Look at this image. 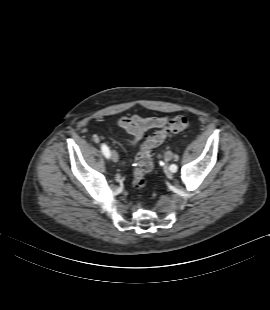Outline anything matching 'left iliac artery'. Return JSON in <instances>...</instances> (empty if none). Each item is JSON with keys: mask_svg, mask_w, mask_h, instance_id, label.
Returning a JSON list of instances; mask_svg holds the SVG:
<instances>
[{"mask_svg": "<svg viewBox=\"0 0 270 310\" xmlns=\"http://www.w3.org/2000/svg\"><path fill=\"white\" fill-rule=\"evenodd\" d=\"M170 170H171L172 172H176L177 166H176L175 164H172V165L170 166Z\"/></svg>", "mask_w": 270, "mask_h": 310, "instance_id": "obj_1", "label": "left iliac artery"}]
</instances>
